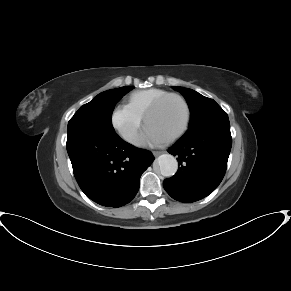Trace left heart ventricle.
<instances>
[{
  "label": "left heart ventricle",
  "mask_w": 291,
  "mask_h": 291,
  "mask_svg": "<svg viewBox=\"0 0 291 291\" xmlns=\"http://www.w3.org/2000/svg\"><path fill=\"white\" fill-rule=\"evenodd\" d=\"M184 117L182 103L176 98H169L149 117L146 125L167 138L182 125Z\"/></svg>",
  "instance_id": "1"
}]
</instances>
